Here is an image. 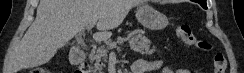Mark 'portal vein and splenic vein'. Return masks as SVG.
Returning <instances> with one entry per match:
<instances>
[{
	"mask_svg": "<svg viewBox=\"0 0 244 73\" xmlns=\"http://www.w3.org/2000/svg\"><path fill=\"white\" fill-rule=\"evenodd\" d=\"M95 24H96L95 22H91V23H89V24L87 25V30L90 31V30L94 27ZM114 54H115L114 52H111V53H110V55H114Z\"/></svg>",
	"mask_w": 244,
	"mask_h": 73,
	"instance_id": "18ae733b",
	"label": "portal vein and splenic vein"
}]
</instances>
